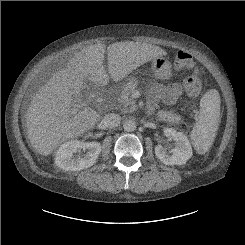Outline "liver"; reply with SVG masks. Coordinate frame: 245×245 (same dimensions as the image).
<instances>
[{
  "label": "liver",
  "mask_w": 245,
  "mask_h": 245,
  "mask_svg": "<svg viewBox=\"0 0 245 245\" xmlns=\"http://www.w3.org/2000/svg\"><path fill=\"white\" fill-rule=\"evenodd\" d=\"M105 50L106 46L101 43L83 48L33 97L26 113V127L28 139L39 154L48 156L59 145L93 129L99 122L100 115L87 106L71 115L74 101L80 99V92L88 83L102 87L110 78L121 81L141 65L166 55L155 45L116 42L106 50L107 73L103 65Z\"/></svg>",
  "instance_id": "6515ba94"
}]
</instances>
